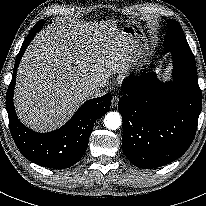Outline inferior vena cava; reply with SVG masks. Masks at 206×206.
Returning a JSON list of instances; mask_svg holds the SVG:
<instances>
[{
    "label": "inferior vena cava",
    "instance_id": "602c4592",
    "mask_svg": "<svg viewBox=\"0 0 206 206\" xmlns=\"http://www.w3.org/2000/svg\"><path fill=\"white\" fill-rule=\"evenodd\" d=\"M108 86V82H103L101 84L94 85L87 90V94L89 98L101 97L106 92V87ZM105 88V89H103Z\"/></svg>",
    "mask_w": 206,
    "mask_h": 206
}]
</instances>
